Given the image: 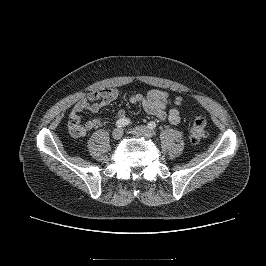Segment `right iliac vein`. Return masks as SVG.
Segmentation results:
<instances>
[{"instance_id":"63e3f726","label":"right iliac vein","mask_w":266,"mask_h":266,"mask_svg":"<svg viewBox=\"0 0 266 266\" xmlns=\"http://www.w3.org/2000/svg\"><path fill=\"white\" fill-rule=\"evenodd\" d=\"M123 136V130L121 128H116L112 132V138L119 140Z\"/></svg>"}]
</instances>
